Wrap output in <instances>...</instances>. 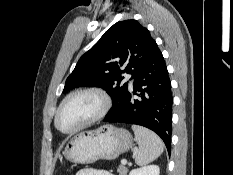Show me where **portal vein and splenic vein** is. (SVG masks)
Here are the masks:
<instances>
[{
    "label": "portal vein and splenic vein",
    "mask_w": 233,
    "mask_h": 175,
    "mask_svg": "<svg viewBox=\"0 0 233 175\" xmlns=\"http://www.w3.org/2000/svg\"><path fill=\"white\" fill-rule=\"evenodd\" d=\"M121 164L122 165H126L127 164V160H125V159L121 160Z\"/></svg>",
    "instance_id": "18ae733b"
}]
</instances>
